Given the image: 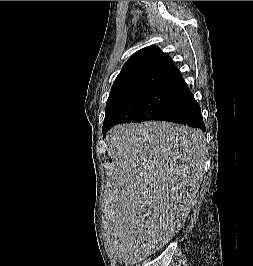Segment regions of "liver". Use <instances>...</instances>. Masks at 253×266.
Segmentation results:
<instances>
[{
    "instance_id": "obj_1",
    "label": "liver",
    "mask_w": 253,
    "mask_h": 266,
    "mask_svg": "<svg viewBox=\"0 0 253 266\" xmlns=\"http://www.w3.org/2000/svg\"><path fill=\"white\" fill-rule=\"evenodd\" d=\"M106 140L116 165L105 204L110 251L137 263L164 247L188 217L203 179L205 136L150 121L114 126Z\"/></svg>"
}]
</instances>
